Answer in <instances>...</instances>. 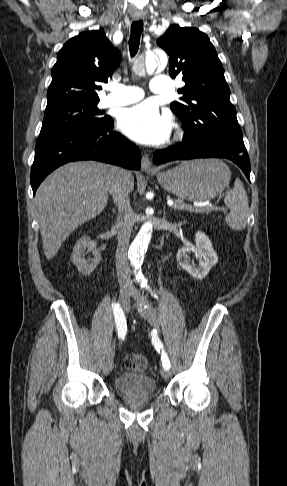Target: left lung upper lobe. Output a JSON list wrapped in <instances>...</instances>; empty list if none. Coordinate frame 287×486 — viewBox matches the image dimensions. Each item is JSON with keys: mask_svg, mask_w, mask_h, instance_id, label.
<instances>
[{"mask_svg": "<svg viewBox=\"0 0 287 486\" xmlns=\"http://www.w3.org/2000/svg\"><path fill=\"white\" fill-rule=\"evenodd\" d=\"M157 44L170 57V76L183 75L185 86L178 90L182 97L170 107L183 123L185 134L244 144L224 69L208 36L174 24Z\"/></svg>", "mask_w": 287, "mask_h": 486, "instance_id": "obj_1", "label": "left lung upper lobe"}]
</instances>
